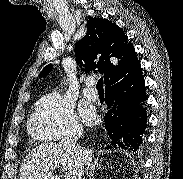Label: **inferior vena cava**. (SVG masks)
<instances>
[{"label": "inferior vena cava", "mask_w": 183, "mask_h": 179, "mask_svg": "<svg viewBox=\"0 0 183 179\" xmlns=\"http://www.w3.org/2000/svg\"><path fill=\"white\" fill-rule=\"evenodd\" d=\"M82 135V129H74L67 133L60 141V146L69 151L75 158L76 179H82L84 165L79 157L76 142Z\"/></svg>", "instance_id": "1"}]
</instances>
